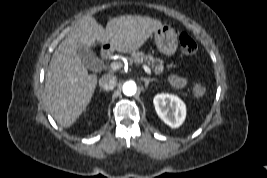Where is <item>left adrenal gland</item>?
I'll use <instances>...</instances> for the list:
<instances>
[{
  "mask_svg": "<svg viewBox=\"0 0 267 178\" xmlns=\"http://www.w3.org/2000/svg\"><path fill=\"white\" fill-rule=\"evenodd\" d=\"M145 82V87L148 88V85L151 81H156V79H150V78H143Z\"/></svg>",
  "mask_w": 267,
  "mask_h": 178,
  "instance_id": "1",
  "label": "left adrenal gland"
}]
</instances>
